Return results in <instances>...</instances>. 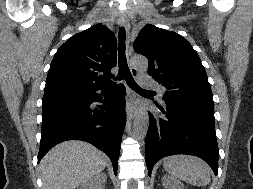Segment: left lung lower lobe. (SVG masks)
<instances>
[{
	"label": "left lung lower lobe",
	"instance_id": "0a47b994",
	"mask_svg": "<svg viewBox=\"0 0 253 189\" xmlns=\"http://www.w3.org/2000/svg\"><path fill=\"white\" fill-rule=\"evenodd\" d=\"M160 117L149 112L145 158L149 176L154 164L173 154L195 155L206 161L215 175L219 150L215 134L214 110L175 100H162Z\"/></svg>",
	"mask_w": 253,
	"mask_h": 189
}]
</instances>
